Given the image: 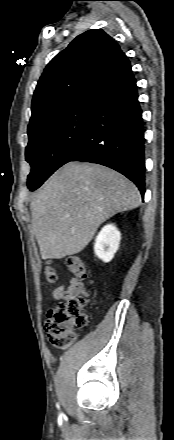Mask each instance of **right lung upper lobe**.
Listing matches in <instances>:
<instances>
[{"mask_svg": "<svg viewBox=\"0 0 174 440\" xmlns=\"http://www.w3.org/2000/svg\"><path fill=\"white\" fill-rule=\"evenodd\" d=\"M130 70L127 56L112 37L98 29L86 31L46 66L33 95L29 126Z\"/></svg>", "mask_w": 174, "mask_h": 440, "instance_id": "obj_1", "label": "right lung upper lobe"}]
</instances>
